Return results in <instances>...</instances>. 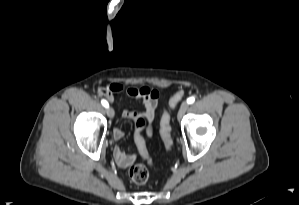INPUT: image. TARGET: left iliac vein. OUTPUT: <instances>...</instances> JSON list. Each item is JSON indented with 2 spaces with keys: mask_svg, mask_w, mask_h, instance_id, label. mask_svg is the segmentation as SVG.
I'll return each mask as SVG.
<instances>
[{
  "mask_svg": "<svg viewBox=\"0 0 299 205\" xmlns=\"http://www.w3.org/2000/svg\"><path fill=\"white\" fill-rule=\"evenodd\" d=\"M187 109H188V103L183 102L181 104V107H180L179 111H178V115H177L178 119H181V117L184 115V113L186 112Z\"/></svg>",
  "mask_w": 299,
  "mask_h": 205,
  "instance_id": "1",
  "label": "left iliac vein"
}]
</instances>
